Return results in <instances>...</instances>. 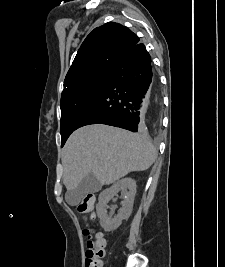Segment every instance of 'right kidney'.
Wrapping results in <instances>:
<instances>
[{
  "label": "right kidney",
  "mask_w": 225,
  "mask_h": 267,
  "mask_svg": "<svg viewBox=\"0 0 225 267\" xmlns=\"http://www.w3.org/2000/svg\"><path fill=\"white\" fill-rule=\"evenodd\" d=\"M118 192H122L124 201L122 202V208L118 214L112 218L107 214V204L112 198H114V196L117 195ZM135 195L136 181L132 178H123L117 181L99 195V202L96 206V211L100 219V224L106 232L117 229L123 220L130 217Z\"/></svg>",
  "instance_id": "obj_1"
}]
</instances>
